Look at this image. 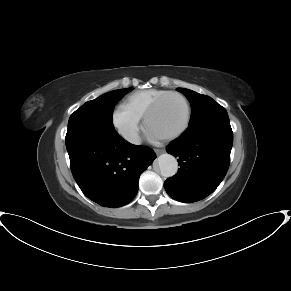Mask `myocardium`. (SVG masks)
<instances>
[{
	"mask_svg": "<svg viewBox=\"0 0 291 291\" xmlns=\"http://www.w3.org/2000/svg\"><path fill=\"white\" fill-rule=\"evenodd\" d=\"M171 96H177L179 98H181L186 106V119L184 124L174 133L168 135V136H164V137H160V139L162 141H170L173 139H176L178 137H180L181 135H183L187 129L189 128L190 124H191V120H192V109H191V105L189 100L186 98V96H184L182 93L180 92H175V91H170L167 92L166 94L162 95L161 97H159L153 104L152 106L148 109V111L146 112L145 116H144V123H145V127L148 129L149 127V121L151 119V117L153 116V114L159 109V107L162 105V103Z\"/></svg>",
	"mask_w": 291,
	"mask_h": 291,
	"instance_id": "myocardium-1",
	"label": "myocardium"
}]
</instances>
